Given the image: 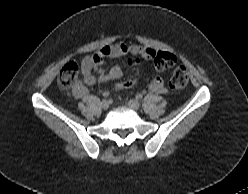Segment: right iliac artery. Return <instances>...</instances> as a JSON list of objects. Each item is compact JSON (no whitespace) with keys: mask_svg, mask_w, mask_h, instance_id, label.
I'll return each instance as SVG.
<instances>
[{"mask_svg":"<svg viewBox=\"0 0 248 194\" xmlns=\"http://www.w3.org/2000/svg\"><path fill=\"white\" fill-rule=\"evenodd\" d=\"M103 96H104L105 98H107V97H109V93H108V92H105V93H103Z\"/></svg>","mask_w":248,"mask_h":194,"instance_id":"1","label":"right iliac artery"}]
</instances>
